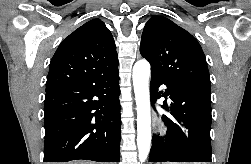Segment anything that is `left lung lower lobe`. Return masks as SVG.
I'll list each match as a JSON object with an SVG mask.
<instances>
[{
    "label": "left lung lower lobe",
    "instance_id": "left-lung-lower-lobe-1",
    "mask_svg": "<svg viewBox=\"0 0 251 164\" xmlns=\"http://www.w3.org/2000/svg\"><path fill=\"white\" fill-rule=\"evenodd\" d=\"M165 84V93L158 92ZM162 96L172 100L161 107L173 117L163 115L167 126L164 137L153 136L149 162H211V93L200 87L151 71L152 103Z\"/></svg>",
    "mask_w": 251,
    "mask_h": 164
}]
</instances>
